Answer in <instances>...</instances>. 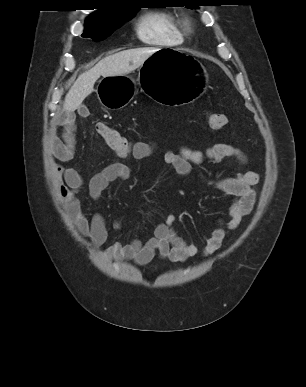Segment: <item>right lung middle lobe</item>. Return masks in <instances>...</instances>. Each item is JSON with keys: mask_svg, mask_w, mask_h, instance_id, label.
<instances>
[{"mask_svg": "<svg viewBox=\"0 0 306 387\" xmlns=\"http://www.w3.org/2000/svg\"><path fill=\"white\" fill-rule=\"evenodd\" d=\"M138 9H126L121 11L117 16L111 18L106 22H91L86 21V27L82 34V37L91 38L94 41L104 40L114 30L120 27L124 22L130 20Z\"/></svg>", "mask_w": 306, "mask_h": 387, "instance_id": "dd1d6c3e", "label": "right lung middle lobe"}]
</instances>
